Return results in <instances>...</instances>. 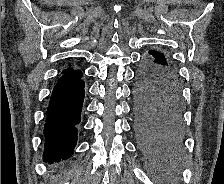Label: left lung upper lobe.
Returning a JSON list of instances; mask_svg holds the SVG:
<instances>
[{
    "label": "left lung upper lobe",
    "instance_id": "1",
    "mask_svg": "<svg viewBox=\"0 0 224 184\" xmlns=\"http://www.w3.org/2000/svg\"><path fill=\"white\" fill-rule=\"evenodd\" d=\"M154 53H156L158 56H160L161 58L165 59L167 61V69L175 74H177L176 72V68L174 66V64L172 63V61L169 59V57L161 52H157V51H153Z\"/></svg>",
    "mask_w": 224,
    "mask_h": 184
}]
</instances>
